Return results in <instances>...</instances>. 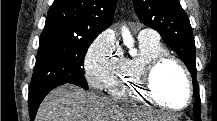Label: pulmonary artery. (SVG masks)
<instances>
[{"label": "pulmonary artery", "instance_id": "pulmonary-artery-1", "mask_svg": "<svg viewBox=\"0 0 217 121\" xmlns=\"http://www.w3.org/2000/svg\"><path fill=\"white\" fill-rule=\"evenodd\" d=\"M138 39L159 41V35L150 28H144L138 33Z\"/></svg>", "mask_w": 217, "mask_h": 121}]
</instances>
